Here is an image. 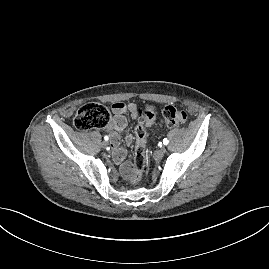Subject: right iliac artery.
Returning a JSON list of instances; mask_svg holds the SVG:
<instances>
[{
	"label": "right iliac artery",
	"instance_id": "right-iliac-artery-1",
	"mask_svg": "<svg viewBox=\"0 0 269 269\" xmlns=\"http://www.w3.org/2000/svg\"><path fill=\"white\" fill-rule=\"evenodd\" d=\"M108 139H109L108 136H105V137H104V140H105V141H108Z\"/></svg>",
	"mask_w": 269,
	"mask_h": 269
}]
</instances>
